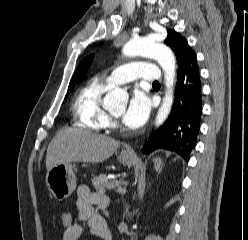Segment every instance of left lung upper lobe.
<instances>
[{
  "label": "left lung upper lobe",
  "instance_id": "obj_1",
  "mask_svg": "<svg viewBox=\"0 0 248 240\" xmlns=\"http://www.w3.org/2000/svg\"><path fill=\"white\" fill-rule=\"evenodd\" d=\"M167 33L168 35L164 42L175 53L179 71V69L183 66L187 59L194 54V52L188 45L187 40L181 34L173 29H168Z\"/></svg>",
  "mask_w": 248,
  "mask_h": 240
}]
</instances>
